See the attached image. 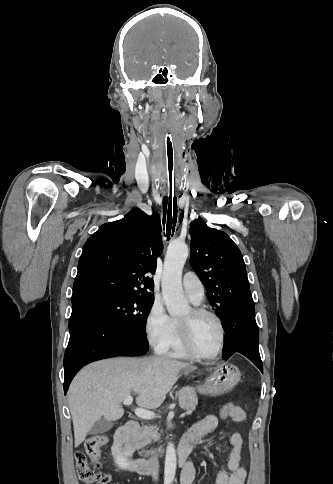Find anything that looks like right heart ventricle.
Segmentation results:
<instances>
[{
	"label": "right heart ventricle",
	"mask_w": 333,
	"mask_h": 484,
	"mask_svg": "<svg viewBox=\"0 0 333 484\" xmlns=\"http://www.w3.org/2000/svg\"><path fill=\"white\" fill-rule=\"evenodd\" d=\"M196 304V303H195ZM162 354L177 359L191 358L186 349L184 348L180 332L179 323L177 319H172L171 337L167 347L162 351Z\"/></svg>",
	"instance_id": "right-heart-ventricle-1"
}]
</instances>
